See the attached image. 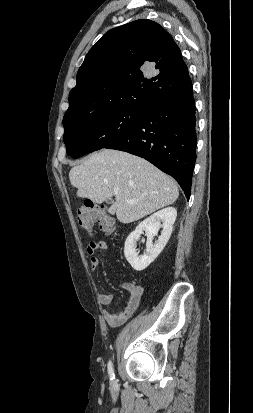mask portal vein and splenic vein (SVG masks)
I'll use <instances>...</instances> for the list:
<instances>
[{
    "label": "portal vein and splenic vein",
    "instance_id": "obj_1",
    "mask_svg": "<svg viewBox=\"0 0 253 413\" xmlns=\"http://www.w3.org/2000/svg\"><path fill=\"white\" fill-rule=\"evenodd\" d=\"M114 193H115V194L118 193V189H117V188L114 189ZM127 202H128V203H131V204L135 203V201H133V200H127Z\"/></svg>",
    "mask_w": 253,
    "mask_h": 413
}]
</instances>
